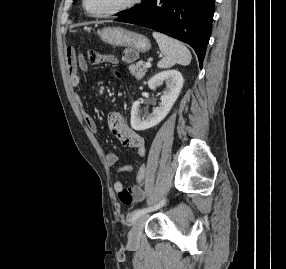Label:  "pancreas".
<instances>
[{
    "instance_id": "cf45deb5",
    "label": "pancreas",
    "mask_w": 286,
    "mask_h": 269,
    "mask_svg": "<svg viewBox=\"0 0 286 269\" xmlns=\"http://www.w3.org/2000/svg\"><path fill=\"white\" fill-rule=\"evenodd\" d=\"M129 70L136 79L141 80L147 72V67L143 61H138L136 64L130 65Z\"/></svg>"
}]
</instances>
